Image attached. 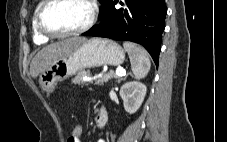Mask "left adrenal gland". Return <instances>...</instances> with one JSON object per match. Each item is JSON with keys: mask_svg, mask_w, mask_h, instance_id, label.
<instances>
[{"mask_svg": "<svg viewBox=\"0 0 227 142\" xmlns=\"http://www.w3.org/2000/svg\"><path fill=\"white\" fill-rule=\"evenodd\" d=\"M127 76H125L124 78L118 79L117 82H120L121 80H125Z\"/></svg>", "mask_w": 227, "mask_h": 142, "instance_id": "1", "label": "left adrenal gland"}]
</instances>
